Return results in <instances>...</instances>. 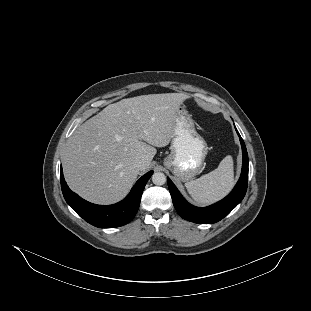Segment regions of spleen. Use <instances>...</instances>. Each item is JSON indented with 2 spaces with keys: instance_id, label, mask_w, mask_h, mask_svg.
I'll return each mask as SVG.
<instances>
[{
  "instance_id": "3e777b00",
  "label": "spleen",
  "mask_w": 311,
  "mask_h": 311,
  "mask_svg": "<svg viewBox=\"0 0 311 311\" xmlns=\"http://www.w3.org/2000/svg\"><path fill=\"white\" fill-rule=\"evenodd\" d=\"M232 168V158L226 156L215 170L185 183V186L197 203L213 202L224 196L233 186Z\"/></svg>"
}]
</instances>
